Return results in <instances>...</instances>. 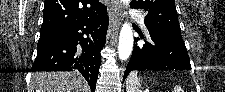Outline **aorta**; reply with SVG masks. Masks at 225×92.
Listing matches in <instances>:
<instances>
[{
    "mask_svg": "<svg viewBox=\"0 0 225 92\" xmlns=\"http://www.w3.org/2000/svg\"><path fill=\"white\" fill-rule=\"evenodd\" d=\"M128 4L129 0H122ZM133 49V33L129 23H124L119 35L118 55L121 61L129 58Z\"/></svg>",
    "mask_w": 225,
    "mask_h": 92,
    "instance_id": "762f6f07",
    "label": "aorta"
}]
</instances>
